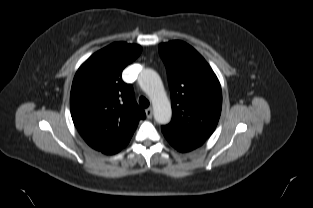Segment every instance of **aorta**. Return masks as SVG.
<instances>
[{
	"instance_id": "1",
	"label": "aorta",
	"mask_w": 313,
	"mask_h": 208,
	"mask_svg": "<svg viewBox=\"0 0 313 208\" xmlns=\"http://www.w3.org/2000/svg\"><path fill=\"white\" fill-rule=\"evenodd\" d=\"M138 84L152 100L155 121L159 124L169 123L172 109L160 76L154 70L145 69L138 77Z\"/></svg>"
}]
</instances>
